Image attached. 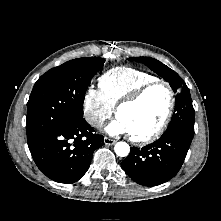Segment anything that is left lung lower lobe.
<instances>
[{
  "mask_svg": "<svg viewBox=\"0 0 221 221\" xmlns=\"http://www.w3.org/2000/svg\"><path fill=\"white\" fill-rule=\"evenodd\" d=\"M193 137L183 133L163 134L139 149L131 147L122 162L126 174L136 183L157 186L169 181L180 170Z\"/></svg>",
  "mask_w": 221,
  "mask_h": 221,
  "instance_id": "1",
  "label": "left lung lower lobe"
}]
</instances>
